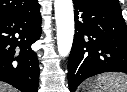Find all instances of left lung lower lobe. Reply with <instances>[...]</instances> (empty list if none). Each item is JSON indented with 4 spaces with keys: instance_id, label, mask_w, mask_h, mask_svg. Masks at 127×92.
<instances>
[{
    "instance_id": "1",
    "label": "left lung lower lobe",
    "mask_w": 127,
    "mask_h": 92,
    "mask_svg": "<svg viewBox=\"0 0 127 92\" xmlns=\"http://www.w3.org/2000/svg\"><path fill=\"white\" fill-rule=\"evenodd\" d=\"M73 3L76 33L68 62L70 92L91 76L112 71L127 73V26L121 11L79 0Z\"/></svg>"
}]
</instances>
